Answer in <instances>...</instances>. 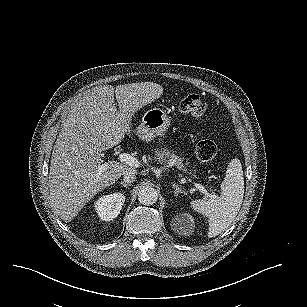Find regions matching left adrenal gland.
<instances>
[{
	"label": "left adrenal gland",
	"mask_w": 307,
	"mask_h": 307,
	"mask_svg": "<svg viewBox=\"0 0 307 307\" xmlns=\"http://www.w3.org/2000/svg\"><path fill=\"white\" fill-rule=\"evenodd\" d=\"M172 187H173L174 190H175V191H174L175 196H178L179 193H185V194L188 193L186 190H183V189H182L181 185H178V184H176V183H173V184H172Z\"/></svg>",
	"instance_id": "obj_1"
}]
</instances>
